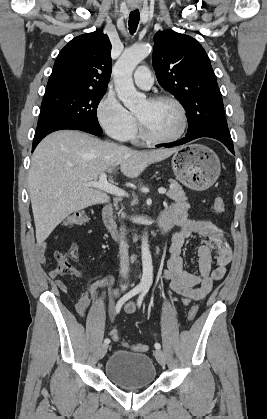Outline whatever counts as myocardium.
I'll return each instance as SVG.
<instances>
[{
  "label": "myocardium",
  "instance_id": "obj_1",
  "mask_svg": "<svg viewBox=\"0 0 267 419\" xmlns=\"http://www.w3.org/2000/svg\"><path fill=\"white\" fill-rule=\"evenodd\" d=\"M148 101L150 103H157V102H161V101H169V102L173 103L178 108V110L180 112L181 126H180L179 130L177 131V133L170 136V137H157V136H154L153 134H151L148 131V129L144 125L143 121L136 115V120H137V123H138L139 132H140V135L142 136V138L144 140H146L150 143H154V144L172 143V142H175V141L179 140L184 135V133L187 129V126H188L187 111H186V108L184 107V105L182 104V102L180 100H178L177 98H175L174 96L167 95V94L154 95L152 97H149Z\"/></svg>",
  "mask_w": 267,
  "mask_h": 419
}]
</instances>
